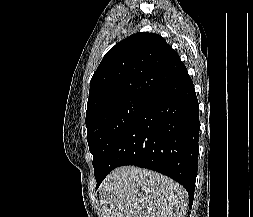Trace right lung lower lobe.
I'll list each match as a JSON object with an SVG mask.
<instances>
[{
	"instance_id": "obj_1",
	"label": "right lung lower lobe",
	"mask_w": 253,
	"mask_h": 217,
	"mask_svg": "<svg viewBox=\"0 0 253 217\" xmlns=\"http://www.w3.org/2000/svg\"><path fill=\"white\" fill-rule=\"evenodd\" d=\"M199 105L186 67L152 96L117 140L98 187L111 170L134 165L155 170L182 184L192 207L197 174Z\"/></svg>"
}]
</instances>
